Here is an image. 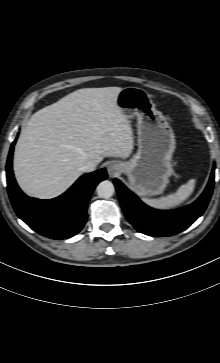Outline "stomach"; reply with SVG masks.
I'll use <instances>...</instances> for the list:
<instances>
[{"label":"stomach","mask_w":220,"mask_h":363,"mask_svg":"<svg viewBox=\"0 0 220 363\" xmlns=\"http://www.w3.org/2000/svg\"><path fill=\"white\" fill-rule=\"evenodd\" d=\"M117 106L127 119L137 118L138 150L130 161L118 163L121 172L128 175L131 189L139 196L161 194L173 173V130L141 88H123L117 96Z\"/></svg>","instance_id":"0dacf381"}]
</instances>
